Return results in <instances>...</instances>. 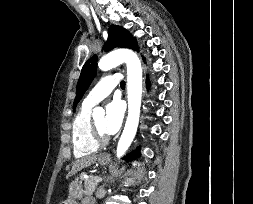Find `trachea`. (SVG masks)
<instances>
[{
  "label": "trachea",
  "instance_id": "3493384b",
  "mask_svg": "<svg viewBox=\"0 0 253 204\" xmlns=\"http://www.w3.org/2000/svg\"><path fill=\"white\" fill-rule=\"evenodd\" d=\"M120 85L122 88H125V81H121Z\"/></svg>",
  "mask_w": 253,
  "mask_h": 204
}]
</instances>
